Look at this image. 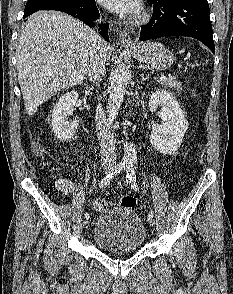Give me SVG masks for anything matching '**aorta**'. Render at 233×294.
<instances>
[{
	"mask_svg": "<svg viewBox=\"0 0 233 294\" xmlns=\"http://www.w3.org/2000/svg\"><path fill=\"white\" fill-rule=\"evenodd\" d=\"M129 79V68L126 58L120 56L117 61L116 67L113 71L110 87H109V100H108V126L110 130L115 127V120L117 118L121 103L124 100L126 92V85ZM123 162L129 167H135L137 163V152L132 143L125 142Z\"/></svg>",
	"mask_w": 233,
	"mask_h": 294,
	"instance_id": "1",
	"label": "aorta"
}]
</instances>
